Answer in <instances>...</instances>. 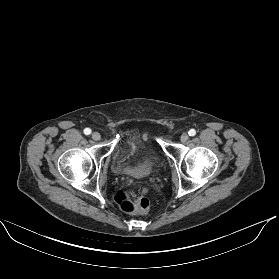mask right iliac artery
Listing matches in <instances>:
<instances>
[{
    "label": "right iliac artery",
    "mask_w": 279,
    "mask_h": 279,
    "mask_svg": "<svg viewBox=\"0 0 279 279\" xmlns=\"http://www.w3.org/2000/svg\"><path fill=\"white\" fill-rule=\"evenodd\" d=\"M84 134H86V135L91 134V129L85 128V129H84Z\"/></svg>",
    "instance_id": "1"
}]
</instances>
